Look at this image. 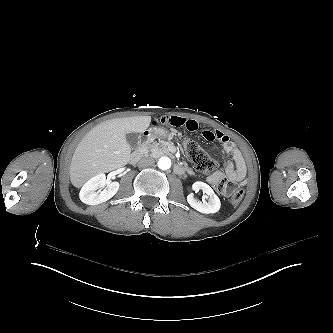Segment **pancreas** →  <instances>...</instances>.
<instances>
[{
  "label": "pancreas",
  "mask_w": 333,
  "mask_h": 333,
  "mask_svg": "<svg viewBox=\"0 0 333 333\" xmlns=\"http://www.w3.org/2000/svg\"><path fill=\"white\" fill-rule=\"evenodd\" d=\"M140 151L143 152V155L151 156L154 158L170 154L168 147L164 141L159 143L158 142L150 143L147 145V147L142 148Z\"/></svg>",
  "instance_id": "cf45deb5"
}]
</instances>
